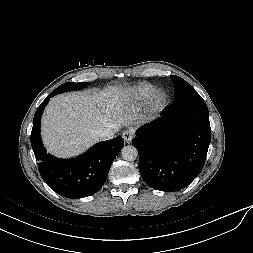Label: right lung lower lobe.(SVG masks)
Returning a JSON list of instances; mask_svg holds the SVG:
<instances>
[{
  "label": "right lung lower lobe",
  "instance_id": "1",
  "mask_svg": "<svg viewBox=\"0 0 253 253\" xmlns=\"http://www.w3.org/2000/svg\"><path fill=\"white\" fill-rule=\"evenodd\" d=\"M53 91L37 108L31 132V146L42 179L56 193L67 198H82L95 194L105 183L113 160L124 146L122 137L103 141L74 159H57L47 154L40 136L41 115Z\"/></svg>",
  "mask_w": 253,
  "mask_h": 253
}]
</instances>
